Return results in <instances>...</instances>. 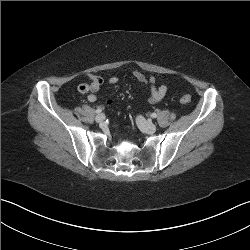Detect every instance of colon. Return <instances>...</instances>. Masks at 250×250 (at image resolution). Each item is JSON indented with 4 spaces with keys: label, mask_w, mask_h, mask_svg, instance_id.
<instances>
[{
    "label": "colon",
    "mask_w": 250,
    "mask_h": 250,
    "mask_svg": "<svg viewBox=\"0 0 250 250\" xmlns=\"http://www.w3.org/2000/svg\"><path fill=\"white\" fill-rule=\"evenodd\" d=\"M95 83H100L99 78H97V77L90 78V82L88 84L91 85V84H95ZM191 99H192V97L190 95L186 94L180 98V102L183 104H186V103H189L191 101Z\"/></svg>",
    "instance_id": "5ec220e1"
}]
</instances>
